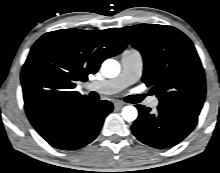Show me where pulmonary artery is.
<instances>
[{
    "mask_svg": "<svg viewBox=\"0 0 220 173\" xmlns=\"http://www.w3.org/2000/svg\"><path fill=\"white\" fill-rule=\"evenodd\" d=\"M121 63L122 68L119 76L113 79L92 83V90L103 95L116 94L140 78L143 60L139 51L128 50L124 52L122 54ZM148 102L151 105H156L158 100L155 97H151Z\"/></svg>",
    "mask_w": 220,
    "mask_h": 173,
    "instance_id": "obj_1",
    "label": "pulmonary artery"
}]
</instances>
